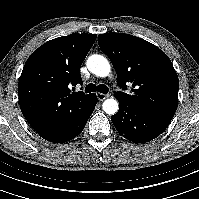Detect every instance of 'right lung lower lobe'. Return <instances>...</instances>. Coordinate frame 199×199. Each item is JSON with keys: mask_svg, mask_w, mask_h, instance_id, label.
Wrapping results in <instances>:
<instances>
[{"mask_svg": "<svg viewBox=\"0 0 199 199\" xmlns=\"http://www.w3.org/2000/svg\"><path fill=\"white\" fill-rule=\"evenodd\" d=\"M96 103L97 96L93 94L89 101V104L77 118L59 127L58 129L39 133V135L42 138L54 143H63L70 141L82 132L87 123V120L95 109Z\"/></svg>", "mask_w": 199, "mask_h": 199, "instance_id": "1", "label": "right lung lower lobe"}]
</instances>
